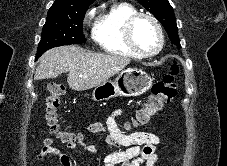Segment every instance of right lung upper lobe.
<instances>
[{"instance_id": "cb5924a9", "label": "right lung upper lobe", "mask_w": 227, "mask_h": 166, "mask_svg": "<svg viewBox=\"0 0 227 166\" xmlns=\"http://www.w3.org/2000/svg\"><path fill=\"white\" fill-rule=\"evenodd\" d=\"M94 0H55L48 12H73L87 9Z\"/></svg>"}]
</instances>
